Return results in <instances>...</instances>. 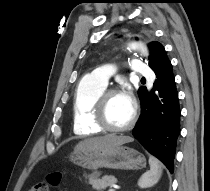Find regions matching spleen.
Listing matches in <instances>:
<instances>
[{
	"instance_id": "1",
	"label": "spleen",
	"mask_w": 210,
	"mask_h": 191,
	"mask_svg": "<svg viewBox=\"0 0 210 191\" xmlns=\"http://www.w3.org/2000/svg\"><path fill=\"white\" fill-rule=\"evenodd\" d=\"M149 165L150 170L145 172L138 181L140 188H148L155 185L162 175V167L156 158L151 156L149 158Z\"/></svg>"
}]
</instances>
